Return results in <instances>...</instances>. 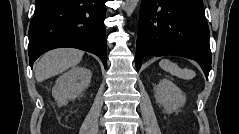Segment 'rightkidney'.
<instances>
[{
    "mask_svg": "<svg viewBox=\"0 0 239 134\" xmlns=\"http://www.w3.org/2000/svg\"><path fill=\"white\" fill-rule=\"evenodd\" d=\"M91 77V71L85 67H74L61 75L52 89V95L58 106L66 105L68 100L75 99L85 91Z\"/></svg>",
    "mask_w": 239,
    "mask_h": 134,
    "instance_id": "ca27d5eb",
    "label": "right kidney"
}]
</instances>
